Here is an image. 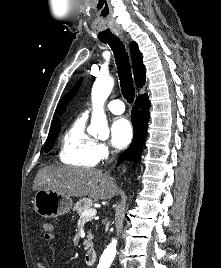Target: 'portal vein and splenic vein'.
Returning a JSON list of instances; mask_svg holds the SVG:
<instances>
[{"mask_svg": "<svg viewBox=\"0 0 221 268\" xmlns=\"http://www.w3.org/2000/svg\"><path fill=\"white\" fill-rule=\"evenodd\" d=\"M96 214H97L96 209H94V208H89V209L84 210V211L81 213L80 218H81V219L90 220V219H92Z\"/></svg>", "mask_w": 221, "mask_h": 268, "instance_id": "portal-vein-and-splenic-vein-1", "label": "portal vein and splenic vein"}]
</instances>
